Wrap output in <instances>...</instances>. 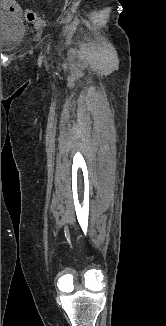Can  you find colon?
<instances>
[{"mask_svg": "<svg viewBox=\"0 0 166 326\" xmlns=\"http://www.w3.org/2000/svg\"><path fill=\"white\" fill-rule=\"evenodd\" d=\"M25 18L28 22H36L41 23L42 22V15L39 12L33 11V10H26Z\"/></svg>", "mask_w": 166, "mask_h": 326, "instance_id": "5ec220e1", "label": "colon"}]
</instances>
